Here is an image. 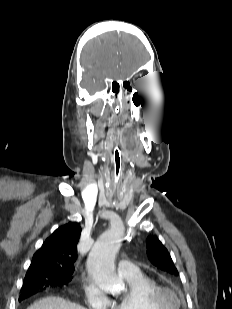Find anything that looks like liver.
<instances>
[{"instance_id":"liver-1","label":"liver","mask_w":232,"mask_h":309,"mask_svg":"<svg viewBox=\"0 0 232 309\" xmlns=\"http://www.w3.org/2000/svg\"><path fill=\"white\" fill-rule=\"evenodd\" d=\"M27 309H86V308L78 304L72 303L68 300H65L64 298L50 296L35 302Z\"/></svg>"}]
</instances>
